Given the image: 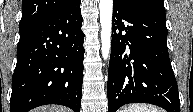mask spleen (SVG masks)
<instances>
[{"mask_svg": "<svg viewBox=\"0 0 193 112\" xmlns=\"http://www.w3.org/2000/svg\"><path fill=\"white\" fill-rule=\"evenodd\" d=\"M122 112H162V110L152 105L132 104L122 110Z\"/></svg>", "mask_w": 193, "mask_h": 112, "instance_id": "1", "label": "spleen"}]
</instances>
